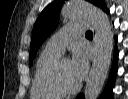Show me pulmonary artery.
Here are the masks:
<instances>
[{"label":"pulmonary artery","instance_id":"1","mask_svg":"<svg viewBox=\"0 0 128 99\" xmlns=\"http://www.w3.org/2000/svg\"><path fill=\"white\" fill-rule=\"evenodd\" d=\"M87 27L88 24L85 21L66 24L48 40L46 47L61 54L65 46L84 32Z\"/></svg>","mask_w":128,"mask_h":99}]
</instances>
